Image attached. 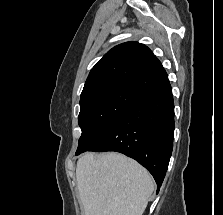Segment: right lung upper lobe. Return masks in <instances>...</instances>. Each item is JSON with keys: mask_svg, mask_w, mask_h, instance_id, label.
I'll return each instance as SVG.
<instances>
[{"mask_svg": "<svg viewBox=\"0 0 223 215\" xmlns=\"http://www.w3.org/2000/svg\"><path fill=\"white\" fill-rule=\"evenodd\" d=\"M167 84V73L152 51L141 43L126 42L112 48L92 68L80 104L114 90L144 96Z\"/></svg>", "mask_w": 223, "mask_h": 215, "instance_id": "cb5924a9", "label": "right lung upper lobe"}]
</instances>
